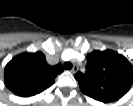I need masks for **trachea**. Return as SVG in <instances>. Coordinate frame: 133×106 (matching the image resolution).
I'll return each instance as SVG.
<instances>
[{
	"label": "trachea",
	"mask_w": 133,
	"mask_h": 106,
	"mask_svg": "<svg viewBox=\"0 0 133 106\" xmlns=\"http://www.w3.org/2000/svg\"><path fill=\"white\" fill-rule=\"evenodd\" d=\"M63 67L65 69H71L72 68V64L70 62H65L64 65H63Z\"/></svg>",
	"instance_id": "1"
}]
</instances>
